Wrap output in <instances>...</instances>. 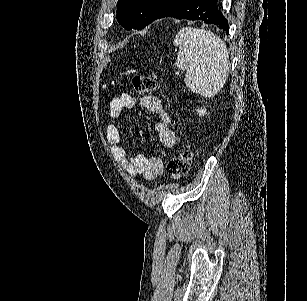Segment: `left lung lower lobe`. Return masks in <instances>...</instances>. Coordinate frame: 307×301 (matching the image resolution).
Instances as JSON below:
<instances>
[{
	"label": "left lung lower lobe",
	"mask_w": 307,
	"mask_h": 301,
	"mask_svg": "<svg viewBox=\"0 0 307 301\" xmlns=\"http://www.w3.org/2000/svg\"><path fill=\"white\" fill-rule=\"evenodd\" d=\"M218 0H177L157 19L174 17L177 19L203 20L206 24H215L229 33L227 19L217 9Z\"/></svg>",
	"instance_id": "0a47b994"
}]
</instances>
